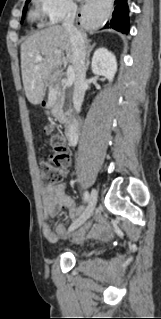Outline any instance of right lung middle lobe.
Instances as JSON below:
<instances>
[{
  "instance_id": "1",
  "label": "right lung middle lobe",
  "mask_w": 161,
  "mask_h": 319,
  "mask_svg": "<svg viewBox=\"0 0 161 319\" xmlns=\"http://www.w3.org/2000/svg\"><path fill=\"white\" fill-rule=\"evenodd\" d=\"M30 2V0H26V6L24 7V10H23V17L25 15V12H26V9H27V4Z\"/></svg>"
}]
</instances>
